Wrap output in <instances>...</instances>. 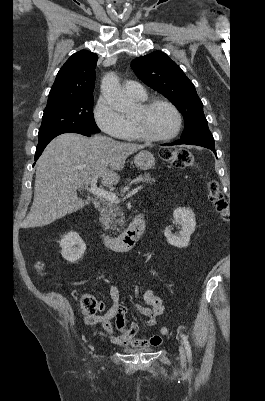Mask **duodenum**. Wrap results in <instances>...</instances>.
I'll use <instances>...</instances> for the list:
<instances>
[{
	"label": "duodenum",
	"instance_id": "1",
	"mask_svg": "<svg viewBox=\"0 0 265 401\" xmlns=\"http://www.w3.org/2000/svg\"><path fill=\"white\" fill-rule=\"evenodd\" d=\"M145 218L138 214L125 232L119 236H110L105 233H99V238L104 245L111 250L124 252L130 250L143 236L145 232Z\"/></svg>",
	"mask_w": 265,
	"mask_h": 401
}]
</instances>
